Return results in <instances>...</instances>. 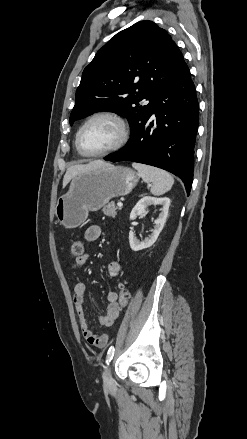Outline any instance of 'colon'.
Segmentation results:
<instances>
[{"instance_id":"1","label":"colon","mask_w":247,"mask_h":439,"mask_svg":"<svg viewBox=\"0 0 247 439\" xmlns=\"http://www.w3.org/2000/svg\"><path fill=\"white\" fill-rule=\"evenodd\" d=\"M71 256L74 258L80 257L84 252L83 242L80 240L73 241L71 245ZM129 300V290L126 284H121L119 286V297H118V308L119 310L124 308Z\"/></svg>"}]
</instances>
